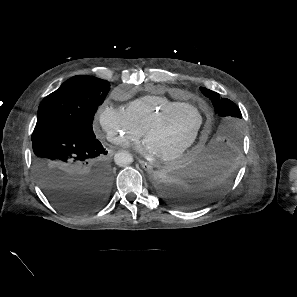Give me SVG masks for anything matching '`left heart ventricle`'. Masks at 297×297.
Segmentation results:
<instances>
[{
    "label": "left heart ventricle",
    "instance_id": "left-heart-ventricle-1",
    "mask_svg": "<svg viewBox=\"0 0 297 297\" xmlns=\"http://www.w3.org/2000/svg\"><path fill=\"white\" fill-rule=\"evenodd\" d=\"M200 117L197 111L186 108L167 118L153 129L146 141L156 155L172 152L188 141L196 131Z\"/></svg>",
    "mask_w": 297,
    "mask_h": 297
}]
</instances>
